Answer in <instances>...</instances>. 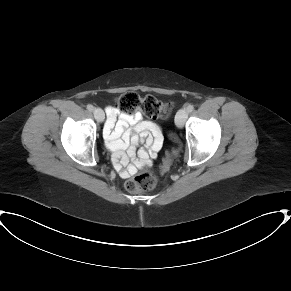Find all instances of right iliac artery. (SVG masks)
Instances as JSON below:
<instances>
[{"instance_id": "right-iliac-artery-1", "label": "right iliac artery", "mask_w": 291, "mask_h": 291, "mask_svg": "<svg viewBox=\"0 0 291 291\" xmlns=\"http://www.w3.org/2000/svg\"><path fill=\"white\" fill-rule=\"evenodd\" d=\"M87 109L89 111H93L94 110V107H93V105L89 104V105H87Z\"/></svg>"}]
</instances>
